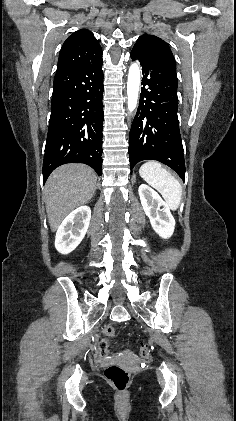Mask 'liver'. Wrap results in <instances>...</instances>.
I'll return each mask as SVG.
<instances>
[{
  "instance_id": "obj_1",
  "label": "liver",
  "mask_w": 236,
  "mask_h": 421,
  "mask_svg": "<svg viewBox=\"0 0 236 421\" xmlns=\"http://www.w3.org/2000/svg\"><path fill=\"white\" fill-rule=\"evenodd\" d=\"M97 176L87 164H63L51 172L44 186L48 223L52 233L62 221L84 206L95 192Z\"/></svg>"
}]
</instances>
